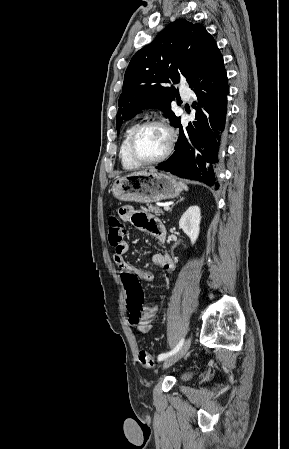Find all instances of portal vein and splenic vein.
I'll use <instances>...</instances> for the list:
<instances>
[{
	"instance_id": "18ae733b",
	"label": "portal vein and splenic vein",
	"mask_w": 289,
	"mask_h": 449,
	"mask_svg": "<svg viewBox=\"0 0 289 449\" xmlns=\"http://www.w3.org/2000/svg\"><path fill=\"white\" fill-rule=\"evenodd\" d=\"M169 209V206H164V210L168 211Z\"/></svg>"
}]
</instances>
